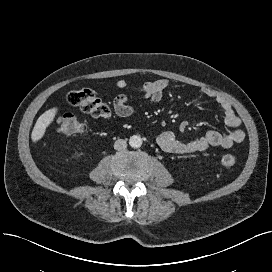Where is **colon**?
<instances>
[{"instance_id": "5ec220e1", "label": "colon", "mask_w": 272, "mask_h": 272, "mask_svg": "<svg viewBox=\"0 0 272 272\" xmlns=\"http://www.w3.org/2000/svg\"><path fill=\"white\" fill-rule=\"evenodd\" d=\"M67 101L95 118L109 120L111 117L110 106L97 97L92 90L80 89L71 91L67 95ZM57 129L62 134L73 135L83 132L86 129V125L74 115H61L57 118ZM236 162V157L232 154H225L221 158V163L225 167H233L236 165Z\"/></svg>"}]
</instances>
